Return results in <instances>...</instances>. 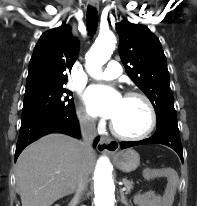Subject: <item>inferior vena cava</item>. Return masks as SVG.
Masks as SVG:
<instances>
[{
    "label": "inferior vena cava",
    "instance_id": "602c4592",
    "mask_svg": "<svg viewBox=\"0 0 197 206\" xmlns=\"http://www.w3.org/2000/svg\"><path fill=\"white\" fill-rule=\"evenodd\" d=\"M80 129L82 136V161L78 170L77 176V187H76V198L79 200L85 190L87 189L88 184V175H87V166L85 155L93 151V142L97 137L96 123L94 119L90 117H82L80 119Z\"/></svg>",
    "mask_w": 197,
    "mask_h": 206
}]
</instances>
